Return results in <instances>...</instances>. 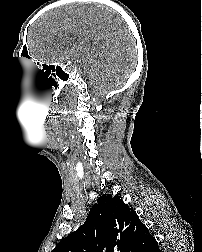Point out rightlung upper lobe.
I'll list each match as a JSON object with an SVG mask.
<instances>
[{"mask_svg":"<svg viewBox=\"0 0 202 252\" xmlns=\"http://www.w3.org/2000/svg\"><path fill=\"white\" fill-rule=\"evenodd\" d=\"M156 240L132 207L119 196L103 195L86 222L52 252H149Z\"/></svg>","mask_w":202,"mask_h":252,"instance_id":"cb5924a9","label":"right lung upper lobe"}]
</instances>
